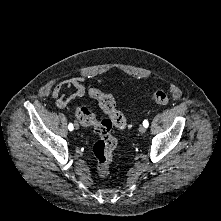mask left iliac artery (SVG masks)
<instances>
[{
    "mask_svg": "<svg viewBox=\"0 0 221 221\" xmlns=\"http://www.w3.org/2000/svg\"><path fill=\"white\" fill-rule=\"evenodd\" d=\"M148 125H149L148 121H147V120H144V121H143V126H145V127L147 128Z\"/></svg>",
    "mask_w": 221,
    "mask_h": 221,
    "instance_id": "1",
    "label": "left iliac artery"
}]
</instances>
